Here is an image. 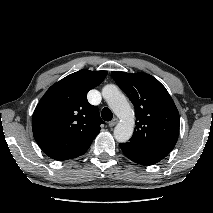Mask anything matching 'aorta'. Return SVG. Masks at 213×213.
Masks as SVG:
<instances>
[{"instance_id": "aorta-1", "label": "aorta", "mask_w": 213, "mask_h": 213, "mask_svg": "<svg viewBox=\"0 0 213 213\" xmlns=\"http://www.w3.org/2000/svg\"><path fill=\"white\" fill-rule=\"evenodd\" d=\"M102 95L109 107L113 110L120 122L114 128V137L118 142L125 143L133 135L134 112L124 94L118 87L112 84L106 85L102 89Z\"/></svg>"}]
</instances>
